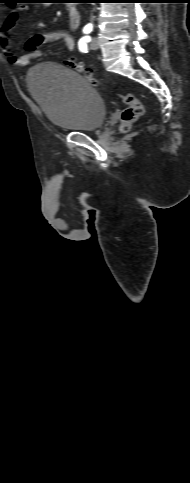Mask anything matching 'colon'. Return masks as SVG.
Instances as JSON below:
<instances>
[{
    "mask_svg": "<svg viewBox=\"0 0 190 483\" xmlns=\"http://www.w3.org/2000/svg\"><path fill=\"white\" fill-rule=\"evenodd\" d=\"M64 63L69 68L83 73L91 84L98 85L96 77L89 69H86L83 64L76 62L72 58L65 59ZM121 99L126 105L121 114L122 130L126 131L143 114L144 108L140 100L132 94H123L121 95Z\"/></svg>",
    "mask_w": 190,
    "mask_h": 483,
    "instance_id": "1",
    "label": "colon"
}]
</instances>
